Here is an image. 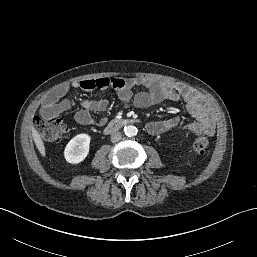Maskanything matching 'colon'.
<instances>
[{"instance_id":"colon-1","label":"colon","mask_w":257,"mask_h":257,"mask_svg":"<svg viewBox=\"0 0 257 257\" xmlns=\"http://www.w3.org/2000/svg\"><path fill=\"white\" fill-rule=\"evenodd\" d=\"M34 126L40 136L49 142L61 141L69 134V128L58 117L57 112L48 107L42 108L40 114L35 117ZM208 144L207 135H202L195 140L193 150L197 153H202Z\"/></svg>"}]
</instances>
